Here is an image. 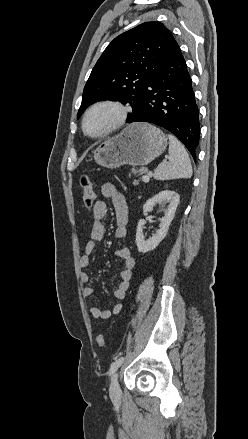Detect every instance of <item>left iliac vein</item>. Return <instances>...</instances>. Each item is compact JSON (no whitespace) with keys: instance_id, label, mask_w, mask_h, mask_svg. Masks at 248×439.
I'll use <instances>...</instances> for the list:
<instances>
[{"instance_id":"left-iliac-vein-1","label":"left iliac vein","mask_w":248,"mask_h":439,"mask_svg":"<svg viewBox=\"0 0 248 439\" xmlns=\"http://www.w3.org/2000/svg\"><path fill=\"white\" fill-rule=\"evenodd\" d=\"M109 393L112 400H116L120 397L118 373H115L111 378Z\"/></svg>"}]
</instances>
